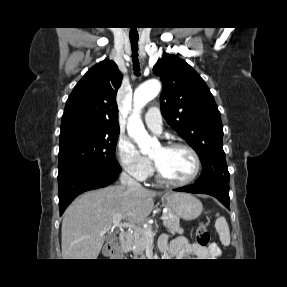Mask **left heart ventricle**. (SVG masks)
<instances>
[{
    "label": "left heart ventricle",
    "mask_w": 287,
    "mask_h": 287,
    "mask_svg": "<svg viewBox=\"0 0 287 287\" xmlns=\"http://www.w3.org/2000/svg\"><path fill=\"white\" fill-rule=\"evenodd\" d=\"M151 158L157 161L164 174L176 181L188 179L195 169L191 153L182 148L165 149L159 146Z\"/></svg>",
    "instance_id": "b2bd125f"
}]
</instances>
